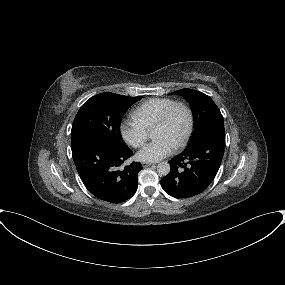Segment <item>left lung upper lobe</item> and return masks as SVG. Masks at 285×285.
Segmentation results:
<instances>
[{"mask_svg": "<svg viewBox=\"0 0 285 285\" xmlns=\"http://www.w3.org/2000/svg\"><path fill=\"white\" fill-rule=\"evenodd\" d=\"M171 95H181L190 103L194 116V133L189 144L194 143L210 126L223 123L219 108L208 95L188 88L175 91Z\"/></svg>", "mask_w": 285, "mask_h": 285, "instance_id": "5c2ea615", "label": "left lung upper lobe"}]
</instances>
